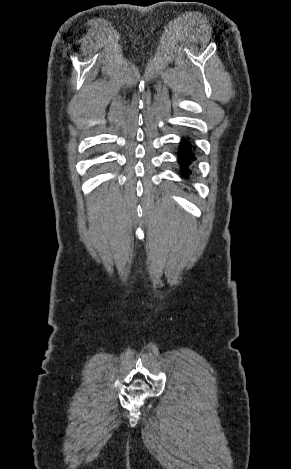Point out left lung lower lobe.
Segmentation results:
<instances>
[{
  "label": "left lung lower lobe",
  "instance_id": "1",
  "mask_svg": "<svg viewBox=\"0 0 291 469\" xmlns=\"http://www.w3.org/2000/svg\"><path fill=\"white\" fill-rule=\"evenodd\" d=\"M178 163L182 177L187 178L193 171V164L196 162V146L189 138L183 137L178 147Z\"/></svg>",
  "mask_w": 291,
  "mask_h": 469
}]
</instances>
